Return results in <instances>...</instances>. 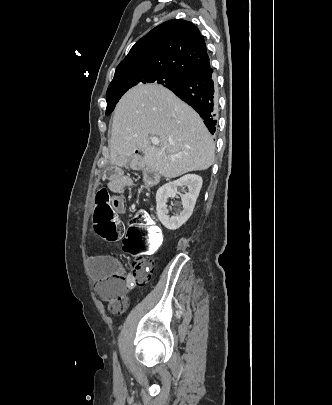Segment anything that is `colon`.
I'll return each instance as SVG.
<instances>
[{
  "instance_id": "5ec220e1",
  "label": "colon",
  "mask_w": 332,
  "mask_h": 405,
  "mask_svg": "<svg viewBox=\"0 0 332 405\" xmlns=\"http://www.w3.org/2000/svg\"><path fill=\"white\" fill-rule=\"evenodd\" d=\"M151 180V173H145ZM112 191L108 188L98 190L95 199L93 226L95 232L106 241H117L124 228L112 209ZM162 239V231L154 219L144 211L136 213L129 225V237L124 247V256H136L130 273L114 272L98 281V296L110 303H120L129 287L147 283L153 273V261L145 256H155L157 245Z\"/></svg>"
}]
</instances>
